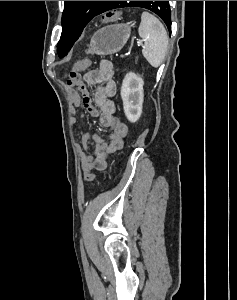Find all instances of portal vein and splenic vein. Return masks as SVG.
I'll use <instances>...</instances> for the list:
<instances>
[{"mask_svg":"<svg viewBox=\"0 0 237 300\" xmlns=\"http://www.w3.org/2000/svg\"><path fill=\"white\" fill-rule=\"evenodd\" d=\"M138 45H142L143 41H137Z\"/></svg>","mask_w":237,"mask_h":300,"instance_id":"1","label":"portal vein and splenic vein"}]
</instances>
